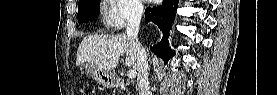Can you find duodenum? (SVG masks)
Masks as SVG:
<instances>
[{
    "mask_svg": "<svg viewBox=\"0 0 277 95\" xmlns=\"http://www.w3.org/2000/svg\"><path fill=\"white\" fill-rule=\"evenodd\" d=\"M120 86H121L122 88H124L125 82H124V81H121V82H120Z\"/></svg>",
    "mask_w": 277,
    "mask_h": 95,
    "instance_id": "1",
    "label": "duodenum"
}]
</instances>
